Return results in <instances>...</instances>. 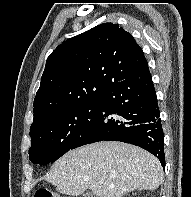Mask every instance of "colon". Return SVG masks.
Listing matches in <instances>:
<instances>
[{"label": "colon", "instance_id": "1", "mask_svg": "<svg viewBox=\"0 0 191 197\" xmlns=\"http://www.w3.org/2000/svg\"><path fill=\"white\" fill-rule=\"evenodd\" d=\"M34 197H63L47 189H39L36 191Z\"/></svg>", "mask_w": 191, "mask_h": 197}]
</instances>
